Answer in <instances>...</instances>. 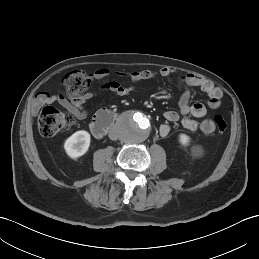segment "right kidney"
I'll return each mask as SVG.
<instances>
[{
	"instance_id": "ca27d5eb",
	"label": "right kidney",
	"mask_w": 259,
	"mask_h": 259,
	"mask_svg": "<svg viewBox=\"0 0 259 259\" xmlns=\"http://www.w3.org/2000/svg\"><path fill=\"white\" fill-rule=\"evenodd\" d=\"M90 145V134L80 130L72 134L64 143V149L69 157L76 159L84 155Z\"/></svg>"
}]
</instances>
